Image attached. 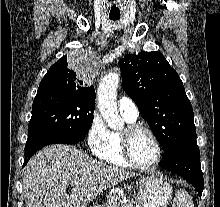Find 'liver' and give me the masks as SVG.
Returning <instances> with one entry per match:
<instances>
[{
  "label": "liver",
  "instance_id": "6515ba94",
  "mask_svg": "<svg viewBox=\"0 0 220 207\" xmlns=\"http://www.w3.org/2000/svg\"><path fill=\"white\" fill-rule=\"evenodd\" d=\"M137 176L106 165L69 145H50L37 152L23 172L26 207H87L104 190ZM74 180L71 196L66 192Z\"/></svg>",
  "mask_w": 220,
  "mask_h": 207
}]
</instances>
